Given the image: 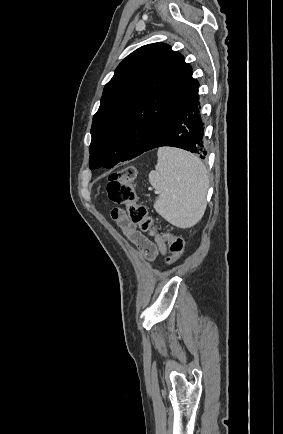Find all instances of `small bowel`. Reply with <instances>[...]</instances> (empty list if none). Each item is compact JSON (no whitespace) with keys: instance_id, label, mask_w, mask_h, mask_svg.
I'll use <instances>...</instances> for the list:
<instances>
[{"instance_id":"obj_1","label":"small bowel","mask_w":283,"mask_h":434,"mask_svg":"<svg viewBox=\"0 0 283 434\" xmlns=\"http://www.w3.org/2000/svg\"><path fill=\"white\" fill-rule=\"evenodd\" d=\"M111 216L128 240L136 245L148 260H155L159 255L166 254V245L160 235L157 234L155 240L151 241L136 229V225L129 220L124 210L115 208Z\"/></svg>"}]
</instances>
